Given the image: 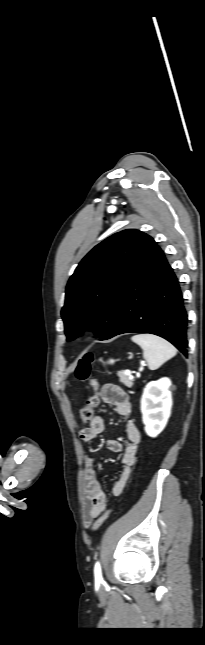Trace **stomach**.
I'll return each mask as SVG.
<instances>
[{
	"mask_svg": "<svg viewBox=\"0 0 205 645\" xmlns=\"http://www.w3.org/2000/svg\"><path fill=\"white\" fill-rule=\"evenodd\" d=\"M113 363H114V360H113V359H110V360L108 361V364H113Z\"/></svg>",
	"mask_w": 205,
	"mask_h": 645,
	"instance_id": "1",
	"label": "stomach"
}]
</instances>
